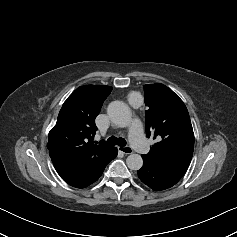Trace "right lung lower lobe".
<instances>
[{
    "label": "right lung lower lobe",
    "mask_w": 237,
    "mask_h": 237,
    "mask_svg": "<svg viewBox=\"0 0 237 237\" xmlns=\"http://www.w3.org/2000/svg\"><path fill=\"white\" fill-rule=\"evenodd\" d=\"M116 156L117 149L115 147L104 158L87 163L74 161L64 155H50L61 178L76 188H85L98 180L106 165Z\"/></svg>",
    "instance_id": "1"
}]
</instances>
